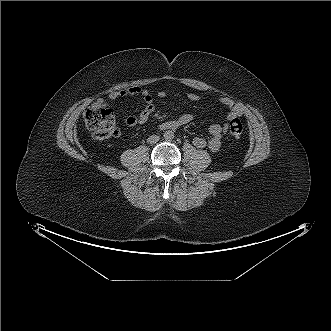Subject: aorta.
I'll use <instances>...</instances> for the list:
<instances>
[{
	"label": "aorta",
	"mask_w": 331,
	"mask_h": 331,
	"mask_svg": "<svg viewBox=\"0 0 331 331\" xmlns=\"http://www.w3.org/2000/svg\"><path fill=\"white\" fill-rule=\"evenodd\" d=\"M164 138L166 139V141H171L174 138V132L170 130L165 131Z\"/></svg>",
	"instance_id": "1"
}]
</instances>
